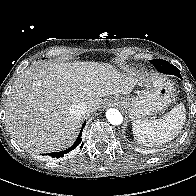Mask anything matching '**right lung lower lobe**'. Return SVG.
Here are the masks:
<instances>
[{"mask_svg": "<svg viewBox=\"0 0 196 196\" xmlns=\"http://www.w3.org/2000/svg\"><path fill=\"white\" fill-rule=\"evenodd\" d=\"M86 122H84V124L82 125V129L85 127ZM82 129L80 131V134L78 136V138L76 139L75 143L68 149L61 151V152H53V153H48L47 155L51 156L52 158H59V157H63L64 154H67L68 152L74 150L77 146L83 145V143L81 144V135H82Z\"/></svg>", "mask_w": 196, "mask_h": 196, "instance_id": "right-lung-lower-lobe-1", "label": "right lung lower lobe"}]
</instances>
